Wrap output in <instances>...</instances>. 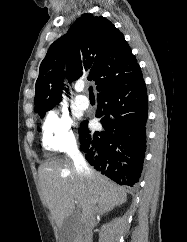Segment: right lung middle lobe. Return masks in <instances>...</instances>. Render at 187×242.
I'll list each match as a JSON object with an SVG mask.
<instances>
[{
    "label": "right lung middle lobe",
    "instance_id": "right-lung-middle-lobe-1",
    "mask_svg": "<svg viewBox=\"0 0 187 242\" xmlns=\"http://www.w3.org/2000/svg\"><path fill=\"white\" fill-rule=\"evenodd\" d=\"M45 112H47V111H45ZM45 112H44V113H42V114H39L41 118H42V117H44Z\"/></svg>",
    "mask_w": 187,
    "mask_h": 242
}]
</instances>
